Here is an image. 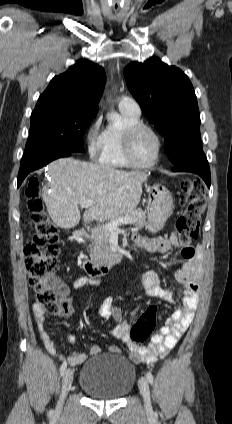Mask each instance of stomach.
<instances>
[{
  "label": "stomach",
  "instance_id": "1",
  "mask_svg": "<svg viewBox=\"0 0 232 424\" xmlns=\"http://www.w3.org/2000/svg\"><path fill=\"white\" fill-rule=\"evenodd\" d=\"M148 222L150 232L160 231L174 209L173 198L170 191L160 185L154 184L148 188Z\"/></svg>",
  "mask_w": 232,
  "mask_h": 424
}]
</instances>
